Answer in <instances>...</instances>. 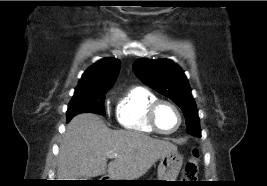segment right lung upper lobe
I'll use <instances>...</instances> for the list:
<instances>
[{
	"mask_svg": "<svg viewBox=\"0 0 267 186\" xmlns=\"http://www.w3.org/2000/svg\"><path fill=\"white\" fill-rule=\"evenodd\" d=\"M120 68V61L104 58L90 66L82 75L75 92L110 88Z\"/></svg>",
	"mask_w": 267,
	"mask_h": 186,
	"instance_id": "right-lung-upper-lobe-1",
	"label": "right lung upper lobe"
}]
</instances>
